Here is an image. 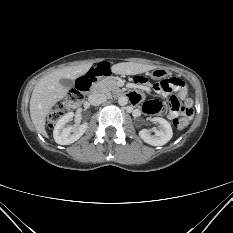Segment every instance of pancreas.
I'll list each match as a JSON object with an SVG mask.
<instances>
[{"label":"pancreas","mask_w":233,"mask_h":233,"mask_svg":"<svg viewBox=\"0 0 233 233\" xmlns=\"http://www.w3.org/2000/svg\"><path fill=\"white\" fill-rule=\"evenodd\" d=\"M102 91L106 93L114 92L118 89L117 81L113 78H106L99 83Z\"/></svg>","instance_id":"cf45deb5"}]
</instances>
